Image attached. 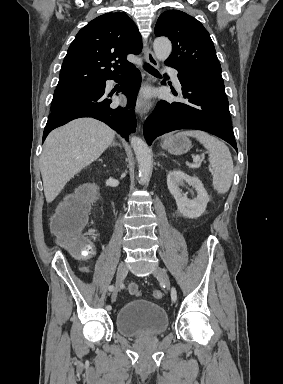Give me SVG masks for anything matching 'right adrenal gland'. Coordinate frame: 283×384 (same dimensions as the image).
I'll list each match as a JSON object with an SVG mask.
<instances>
[{
	"mask_svg": "<svg viewBox=\"0 0 283 384\" xmlns=\"http://www.w3.org/2000/svg\"><path fill=\"white\" fill-rule=\"evenodd\" d=\"M110 146H119V148H122V146H120V144H117V142H112V144H110Z\"/></svg>",
	"mask_w": 283,
	"mask_h": 384,
	"instance_id": "right-adrenal-gland-1",
	"label": "right adrenal gland"
}]
</instances>
